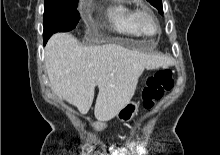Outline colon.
Segmentation results:
<instances>
[{
    "mask_svg": "<svg viewBox=\"0 0 220 155\" xmlns=\"http://www.w3.org/2000/svg\"><path fill=\"white\" fill-rule=\"evenodd\" d=\"M174 85L172 70L165 68L157 71L147 80L143 90V103L145 108H152ZM112 155H117V150H112Z\"/></svg>",
    "mask_w": 220,
    "mask_h": 155,
    "instance_id": "5ec220e1",
    "label": "colon"
}]
</instances>
